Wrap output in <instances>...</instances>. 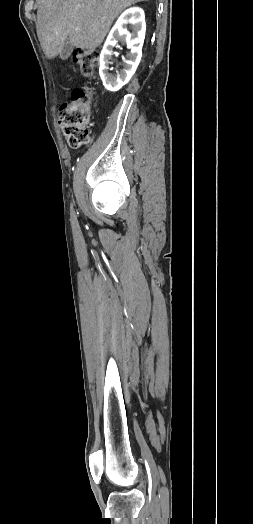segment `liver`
Masks as SVG:
<instances>
[{
    "mask_svg": "<svg viewBox=\"0 0 253 524\" xmlns=\"http://www.w3.org/2000/svg\"><path fill=\"white\" fill-rule=\"evenodd\" d=\"M147 0H39L37 26L45 55L56 57L65 41L80 49L97 48L114 19Z\"/></svg>",
    "mask_w": 253,
    "mask_h": 524,
    "instance_id": "1",
    "label": "liver"
}]
</instances>
